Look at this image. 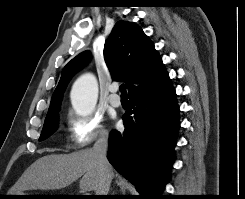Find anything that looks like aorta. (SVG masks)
<instances>
[{"mask_svg":"<svg viewBox=\"0 0 245 199\" xmlns=\"http://www.w3.org/2000/svg\"><path fill=\"white\" fill-rule=\"evenodd\" d=\"M97 97L98 84L92 74H84L75 81L71 91V102L78 114H91L95 109Z\"/></svg>","mask_w":245,"mask_h":199,"instance_id":"1","label":"aorta"}]
</instances>
